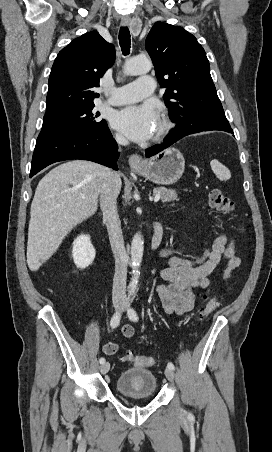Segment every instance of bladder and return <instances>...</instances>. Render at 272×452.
Wrapping results in <instances>:
<instances>
[{
	"mask_svg": "<svg viewBox=\"0 0 272 452\" xmlns=\"http://www.w3.org/2000/svg\"><path fill=\"white\" fill-rule=\"evenodd\" d=\"M115 387L126 396L152 397L157 391V378L147 368H132L118 376Z\"/></svg>",
	"mask_w": 272,
	"mask_h": 452,
	"instance_id": "bladder-1",
	"label": "bladder"
}]
</instances>
